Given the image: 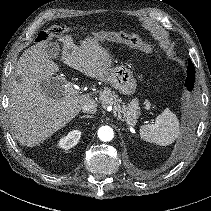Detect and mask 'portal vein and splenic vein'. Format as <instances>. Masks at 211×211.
Wrapping results in <instances>:
<instances>
[{"label": "portal vein and splenic vein", "instance_id": "obj_1", "mask_svg": "<svg viewBox=\"0 0 211 211\" xmlns=\"http://www.w3.org/2000/svg\"><path fill=\"white\" fill-rule=\"evenodd\" d=\"M64 89L67 95L76 96L78 94V91L75 88H73L69 83H67L64 86Z\"/></svg>", "mask_w": 211, "mask_h": 211}]
</instances>
